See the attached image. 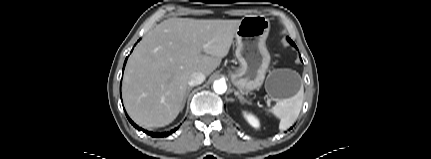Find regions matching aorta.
<instances>
[{"label":"aorta","mask_w":431,"mask_h":159,"mask_svg":"<svg viewBox=\"0 0 431 159\" xmlns=\"http://www.w3.org/2000/svg\"><path fill=\"white\" fill-rule=\"evenodd\" d=\"M213 89L217 94H223L227 90V84L224 80H215L213 83Z\"/></svg>","instance_id":"obj_1"}]
</instances>
